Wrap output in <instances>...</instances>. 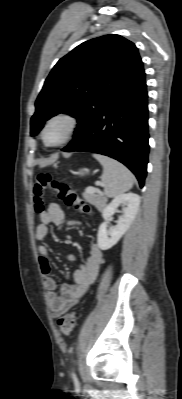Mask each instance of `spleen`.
<instances>
[{
	"label": "spleen",
	"mask_w": 182,
	"mask_h": 399,
	"mask_svg": "<svg viewBox=\"0 0 182 399\" xmlns=\"http://www.w3.org/2000/svg\"><path fill=\"white\" fill-rule=\"evenodd\" d=\"M93 157L103 166L101 180L108 197H116L132 188L134 176L124 165L103 155L94 154Z\"/></svg>",
	"instance_id": "spleen-1"
}]
</instances>
